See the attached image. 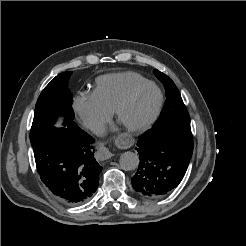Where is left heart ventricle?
Here are the masks:
<instances>
[{
    "label": "left heart ventricle",
    "mask_w": 246,
    "mask_h": 246,
    "mask_svg": "<svg viewBox=\"0 0 246 246\" xmlns=\"http://www.w3.org/2000/svg\"><path fill=\"white\" fill-rule=\"evenodd\" d=\"M157 93L153 88H146L139 92L121 115V122L136 125L143 122L151 113Z\"/></svg>",
    "instance_id": "1"
}]
</instances>
